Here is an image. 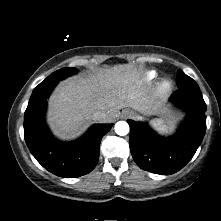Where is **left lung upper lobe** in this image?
Returning <instances> with one entry per match:
<instances>
[{
    "mask_svg": "<svg viewBox=\"0 0 221 221\" xmlns=\"http://www.w3.org/2000/svg\"><path fill=\"white\" fill-rule=\"evenodd\" d=\"M177 87H178V90L200 91L197 83L192 78L187 76L182 70H178Z\"/></svg>",
    "mask_w": 221,
    "mask_h": 221,
    "instance_id": "obj_1",
    "label": "left lung upper lobe"
}]
</instances>
